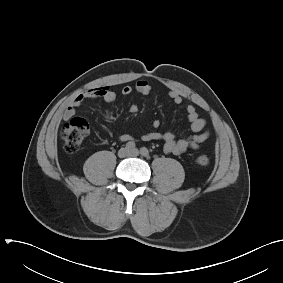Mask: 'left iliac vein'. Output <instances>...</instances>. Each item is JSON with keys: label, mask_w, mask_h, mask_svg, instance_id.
<instances>
[{"label": "left iliac vein", "mask_w": 283, "mask_h": 283, "mask_svg": "<svg viewBox=\"0 0 283 283\" xmlns=\"http://www.w3.org/2000/svg\"><path fill=\"white\" fill-rule=\"evenodd\" d=\"M131 156H138L140 154L138 149H133L129 153Z\"/></svg>", "instance_id": "4c4485c4"}]
</instances>
